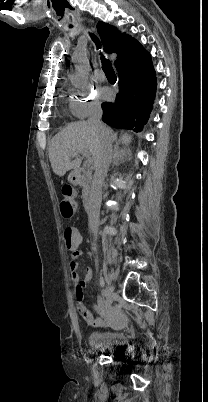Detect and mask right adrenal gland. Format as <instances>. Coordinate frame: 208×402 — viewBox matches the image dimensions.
I'll use <instances>...</instances> for the list:
<instances>
[{
    "label": "right adrenal gland",
    "mask_w": 208,
    "mask_h": 402,
    "mask_svg": "<svg viewBox=\"0 0 208 402\" xmlns=\"http://www.w3.org/2000/svg\"><path fill=\"white\" fill-rule=\"evenodd\" d=\"M126 152H127V150H125V148H123V150H120V152H118V150H114L113 160H115V164H116V160H125V158H127Z\"/></svg>",
    "instance_id": "1"
}]
</instances>
